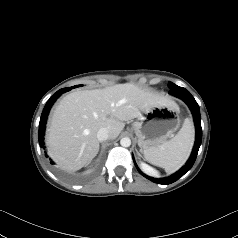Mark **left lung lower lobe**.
Here are the masks:
<instances>
[{
    "instance_id": "obj_1",
    "label": "left lung lower lobe",
    "mask_w": 238,
    "mask_h": 238,
    "mask_svg": "<svg viewBox=\"0 0 238 238\" xmlns=\"http://www.w3.org/2000/svg\"><path fill=\"white\" fill-rule=\"evenodd\" d=\"M169 93L171 95H174V96L182 99L189 106V108L191 109L192 114L194 116V122H195V127H196V141H195V145H194V148H193V151H192V154H191L189 160L187 161L185 166H183L178 172H176L172 176H170L168 178H164V179H156V178H152V177L145 175L144 173H142L140 171V169L137 167V165L134 161V164H135L138 172L141 175H143L145 178L151 180L152 182H155L158 184H163V185L170 184V183L177 181L180 177H182L186 172H188L191 169V167L193 166V164L196 160L198 150H199V147H200L201 141H202L200 109H199V105L197 104L196 100L193 98V96L190 94V92L188 90H186L183 87H179L177 85L173 88H170Z\"/></svg>"
}]
</instances>
